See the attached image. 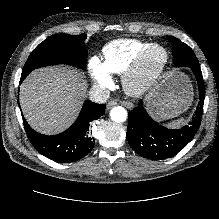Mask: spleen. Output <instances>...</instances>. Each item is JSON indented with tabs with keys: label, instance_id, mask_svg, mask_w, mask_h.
Listing matches in <instances>:
<instances>
[{
	"label": "spleen",
	"instance_id": "3e777b00",
	"mask_svg": "<svg viewBox=\"0 0 219 219\" xmlns=\"http://www.w3.org/2000/svg\"><path fill=\"white\" fill-rule=\"evenodd\" d=\"M176 88L177 90L171 91L170 103L166 104V107L181 108L183 106L185 110L186 106H188L191 101L189 90L183 85L180 87L179 85H176Z\"/></svg>",
	"mask_w": 219,
	"mask_h": 219
}]
</instances>
